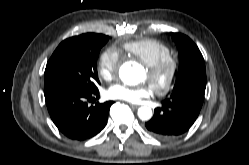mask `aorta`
<instances>
[{"mask_svg":"<svg viewBox=\"0 0 249 165\" xmlns=\"http://www.w3.org/2000/svg\"><path fill=\"white\" fill-rule=\"evenodd\" d=\"M142 71L143 68L140 64L136 62H125L119 69V76L123 82L129 85H135L140 82ZM138 117L144 121L149 120L152 117V110L146 106L140 107L138 109Z\"/></svg>","mask_w":249,"mask_h":165,"instance_id":"obj_1","label":"aorta"}]
</instances>
